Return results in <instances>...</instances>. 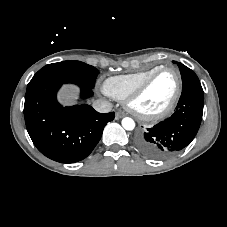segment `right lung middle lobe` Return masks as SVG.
Instances as JSON below:
<instances>
[{"mask_svg":"<svg viewBox=\"0 0 227 227\" xmlns=\"http://www.w3.org/2000/svg\"><path fill=\"white\" fill-rule=\"evenodd\" d=\"M98 74L99 71L95 67L86 63L63 61L44 66L33 76L30 82L47 77H59L93 89Z\"/></svg>","mask_w":227,"mask_h":227,"instance_id":"dd1d6c3e","label":"right lung middle lobe"}]
</instances>
